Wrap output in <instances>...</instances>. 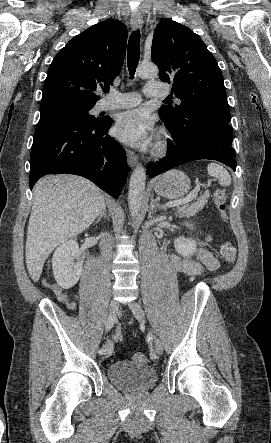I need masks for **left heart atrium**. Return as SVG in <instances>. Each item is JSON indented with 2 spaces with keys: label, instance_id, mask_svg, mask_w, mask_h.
Segmentation results:
<instances>
[{
  "label": "left heart atrium",
  "instance_id": "left-heart-atrium-1",
  "mask_svg": "<svg viewBox=\"0 0 271 443\" xmlns=\"http://www.w3.org/2000/svg\"><path fill=\"white\" fill-rule=\"evenodd\" d=\"M153 122L143 109H132L121 113L113 132L115 137L135 148H145L152 139Z\"/></svg>",
  "mask_w": 271,
  "mask_h": 443
}]
</instances>
